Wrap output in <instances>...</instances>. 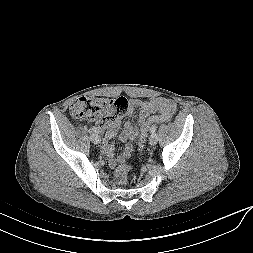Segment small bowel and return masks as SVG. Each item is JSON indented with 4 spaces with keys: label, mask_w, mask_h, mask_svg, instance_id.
Here are the masks:
<instances>
[{
    "label": "small bowel",
    "mask_w": 253,
    "mask_h": 253,
    "mask_svg": "<svg viewBox=\"0 0 253 253\" xmlns=\"http://www.w3.org/2000/svg\"><path fill=\"white\" fill-rule=\"evenodd\" d=\"M135 109L139 112L136 115ZM177 106L174 101L164 97H157L150 100L132 99L128 104V114L131 120L124 124V130L120 135V141L124 143L121 152L114 154L113 139L121 126L119 118L113 126L107 130L102 144V151L108 158L110 167L115 168L118 164L125 162L133 151V141L141 129L152 119H159L156 123L167 121L176 112Z\"/></svg>",
    "instance_id": "c3829d8e"
}]
</instances>
